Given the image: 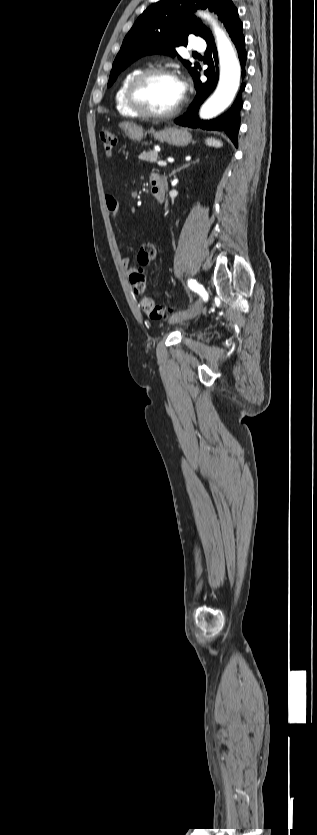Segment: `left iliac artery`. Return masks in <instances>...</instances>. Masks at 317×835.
<instances>
[{
  "label": "left iliac artery",
  "mask_w": 317,
  "mask_h": 835,
  "mask_svg": "<svg viewBox=\"0 0 317 835\" xmlns=\"http://www.w3.org/2000/svg\"><path fill=\"white\" fill-rule=\"evenodd\" d=\"M188 286H189L190 289H192L193 291H195L199 295L207 298V293H206L203 285L198 283L196 280H194V279L188 280Z\"/></svg>",
  "instance_id": "left-iliac-artery-1"
}]
</instances>
